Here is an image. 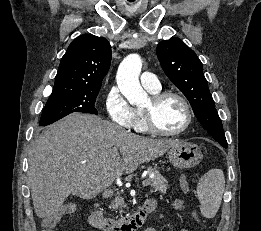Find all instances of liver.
<instances>
[{"label": "liver", "instance_id": "6515ba94", "mask_svg": "<svg viewBox=\"0 0 261 231\" xmlns=\"http://www.w3.org/2000/svg\"><path fill=\"white\" fill-rule=\"evenodd\" d=\"M180 142L145 138L94 115L70 114L48 126L29 154L35 213L43 219L56 215L71 194L93 198Z\"/></svg>", "mask_w": 261, "mask_h": 231}]
</instances>
